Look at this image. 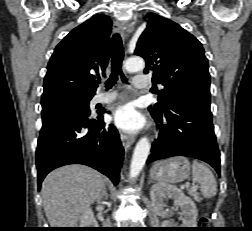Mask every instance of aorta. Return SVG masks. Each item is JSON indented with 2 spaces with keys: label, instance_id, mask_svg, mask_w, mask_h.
Returning <instances> with one entry per match:
<instances>
[{
  "label": "aorta",
  "instance_id": "obj_1",
  "mask_svg": "<svg viewBox=\"0 0 252 231\" xmlns=\"http://www.w3.org/2000/svg\"><path fill=\"white\" fill-rule=\"evenodd\" d=\"M124 68L128 72L142 71L145 68V61L140 57H133L126 60ZM150 142L147 137H142L136 144L130 165V179L136 178L146 163L150 152Z\"/></svg>",
  "mask_w": 252,
  "mask_h": 231
}]
</instances>
